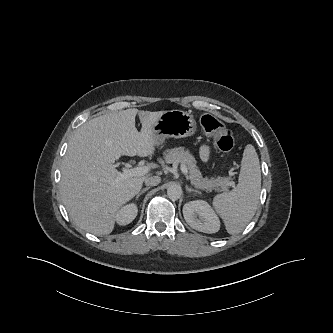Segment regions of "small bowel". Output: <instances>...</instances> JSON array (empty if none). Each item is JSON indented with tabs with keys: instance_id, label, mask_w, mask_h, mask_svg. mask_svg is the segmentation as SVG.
Listing matches in <instances>:
<instances>
[{
	"instance_id": "obj_1",
	"label": "small bowel",
	"mask_w": 333,
	"mask_h": 333,
	"mask_svg": "<svg viewBox=\"0 0 333 333\" xmlns=\"http://www.w3.org/2000/svg\"><path fill=\"white\" fill-rule=\"evenodd\" d=\"M200 157L203 161H207L209 157V148L206 145L201 146L200 148Z\"/></svg>"
}]
</instances>
